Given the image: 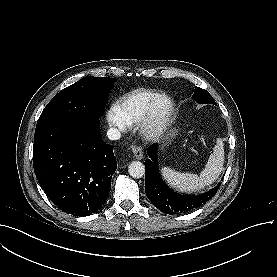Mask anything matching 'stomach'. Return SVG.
Instances as JSON below:
<instances>
[{"label": "stomach", "instance_id": "0dacf381", "mask_svg": "<svg viewBox=\"0 0 277 277\" xmlns=\"http://www.w3.org/2000/svg\"><path fill=\"white\" fill-rule=\"evenodd\" d=\"M175 132H176V130H173V131H172V134H174Z\"/></svg>", "mask_w": 277, "mask_h": 277}]
</instances>
